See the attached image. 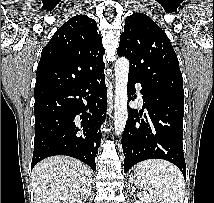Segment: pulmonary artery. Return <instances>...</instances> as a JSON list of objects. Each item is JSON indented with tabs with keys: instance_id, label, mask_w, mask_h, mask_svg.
I'll return each instance as SVG.
<instances>
[{
	"instance_id": "pulmonary-artery-1",
	"label": "pulmonary artery",
	"mask_w": 214,
	"mask_h": 203,
	"mask_svg": "<svg viewBox=\"0 0 214 203\" xmlns=\"http://www.w3.org/2000/svg\"><path fill=\"white\" fill-rule=\"evenodd\" d=\"M137 94L140 100H142L141 86L140 84H136Z\"/></svg>"
}]
</instances>
